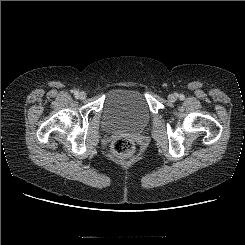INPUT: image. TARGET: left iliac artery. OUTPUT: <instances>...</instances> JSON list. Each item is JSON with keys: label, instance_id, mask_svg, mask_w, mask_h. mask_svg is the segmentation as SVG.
<instances>
[{"label": "left iliac artery", "instance_id": "left-iliac-artery-1", "mask_svg": "<svg viewBox=\"0 0 245 245\" xmlns=\"http://www.w3.org/2000/svg\"><path fill=\"white\" fill-rule=\"evenodd\" d=\"M180 98H183V95H180Z\"/></svg>", "mask_w": 245, "mask_h": 245}]
</instances>
